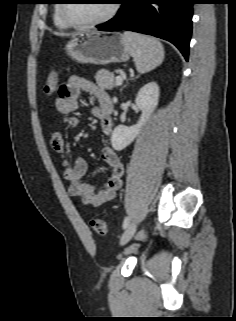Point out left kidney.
Wrapping results in <instances>:
<instances>
[{
    "mask_svg": "<svg viewBox=\"0 0 236 321\" xmlns=\"http://www.w3.org/2000/svg\"><path fill=\"white\" fill-rule=\"evenodd\" d=\"M158 101L159 86L155 82H150L139 90L135 102L137 107L142 111L141 117L137 124L133 126L126 127L119 125L114 129L111 136V144L115 150H123L134 141L157 107Z\"/></svg>",
    "mask_w": 236,
    "mask_h": 321,
    "instance_id": "left-kidney-1",
    "label": "left kidney"
}]
</instances>
